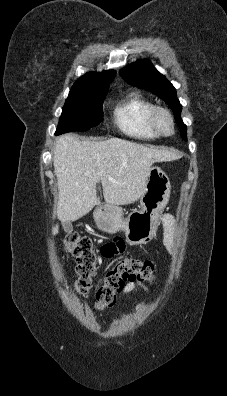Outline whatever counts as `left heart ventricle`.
Masks as SVG:
<instances>
[{
    "mask_svg": "<svg viewBox=\"0 0 227 396\" xmlns=\"http://www.w3.org/2000/svg\"><path fill=\"white\" fill-rule=\"evenodd\" d=\"M159 123L161 125V127L165 130H168L170 128V123L167 117L165 116H161L159 119Z\"/></svg>",
    "mask_w": 227,
    "mask_h": 396,
    "instance_id": "obj_1",
    "label": "left heart ventricle"
}]
</instances>
